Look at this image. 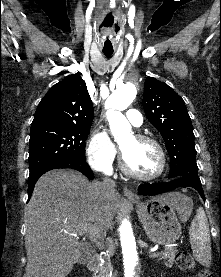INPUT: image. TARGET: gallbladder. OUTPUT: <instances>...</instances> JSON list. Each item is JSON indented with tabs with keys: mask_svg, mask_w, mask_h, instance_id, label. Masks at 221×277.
Listing matches in <instances>:
<instances>
[{
	"mask_svg": "<svg viewBox=\"0 0 221 277\" xmlns=\"http://www.w3.org/2000/svg\"><path fill=\"white\" fill-rule=\"evenodd\" d=\"M89 260V256L88 255H82V257L79 259V264H86Z\"/></svg>",
	"mask_w": 221,
	"mask_h": 277,
	"instance_id": "obj_1",
	"label": "gallbladder"
}]
</instances>
